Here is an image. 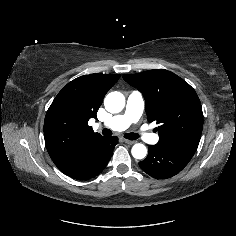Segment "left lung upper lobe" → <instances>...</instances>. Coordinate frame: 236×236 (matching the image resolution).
<instances>
[{
  "mask_svg": "<svg viewBox=\"0 0 236 236\" xmlns=\"http://www.w3.org/2000/svg\"><path fill=\"white\" fill-rule=\"evenodd\" d=\"M123 78L143 94L148 121L159 125V144L198 146L203 128L202 107L186 81L164 69L126 74Z\"/></svg>",
  "mask_w": 236,
  "mask_h": 236,
  "instance_id": "1",
  "label": "left lung upper lobe"
}]
</instances>
